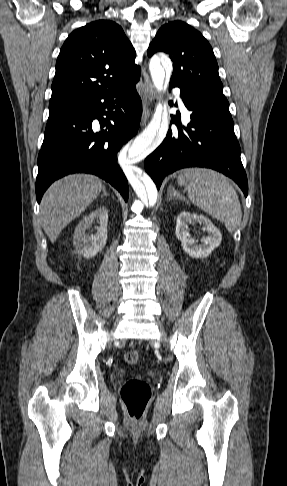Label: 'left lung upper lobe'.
<instances>
[{
	"label": "left lung upper lobe",
	"instance_id": "5c2ea615",
	"mask_svg": "<svg viewBox=\"0 0 287 486\" xmlns=\"http://www.w3.org/2000/svg\"><path fill=\"white\" fill-rule=\"evenodd\" d=\"M160 51L169 54L174 62L170 83L189 88L209 108L232 118L213 49L199 31L178 20L163 25L147 54Z\"/></svg>",
	"mask_w": 287,
	"mask_h": 486
}]
</instances>
